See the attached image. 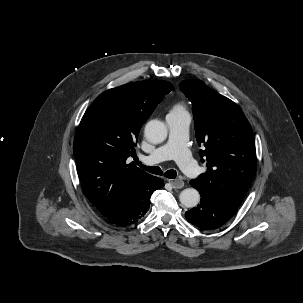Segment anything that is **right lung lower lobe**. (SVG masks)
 Wrapping results in <instances>:
<instances>
[{"mask_svg": "<svg viewBox=\"0 0 303 303\" xmlns=\"http://www.w3.org/2000/svg\"><path fill=\"white\" fill-rule=\"evenodd\" d=\"M164 186L162 179L152 176L130 193L118 197L102 215L116 227H128L142 218L150 207L152 193Z\"/></svg>", "mask_w": 303, "mask_h": 303, "instance_id": "98d812e1", "label": "right lung lower lobe"}]
</instances>
